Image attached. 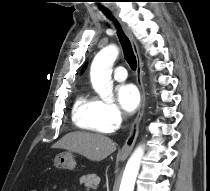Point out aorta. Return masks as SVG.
I'll return each instance as SVG.
<instances>
[{"mask_svg": "<svg viewBox=\"0 0 210 191\" xmlns=\"http://www.w3.org/2000/svg\"><path fill=\"white\" fill-rule=\"evenodd\" d=\"M119 49L116 45H109L102 49L94 58L90 78L94 90L99 96L107 102L113 99V82L111 73L113 64L118 56ZM144 155V146L139 145L125 167L119 191H133L138 175L142 157Z\"/></svg>", "mask_w": 210, "mask_h": 191, "instance_id": "obj_1", "label": "aorta"}]
</instances>
